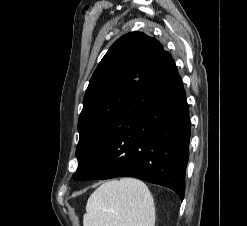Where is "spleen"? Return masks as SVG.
Segmentation results:
<instances>
[{
  "label": "spleen",
  "instance_id": "obj_1",
  "mask_svg": "<svg viewBox=\"0 0 247 226\" xmlns=\"http://www.w3.org/2000/svg\"><path fill=\"white\" fill-rule=\"evenodd\" d=\"M153 196L146 184L122 178L102 184L87 201L84 226H154Z\"/></svg>",
  "mask_w": 247,
  "mask_h": 226
}]
</instances>
